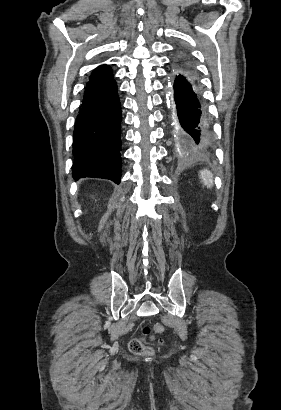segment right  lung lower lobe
Returning <instances> with one entry per match:
<instances>
[{
	"label": "right lung lower lobe",
	"instance_id": "1",
	"mask_svg": "<svg viewBox=\"0 0 281 410\" xmlns=\"http://www.w3.org/2000/svg\"><path fill=\"white\" fill-rule=\"evenodd\" d=\"M121 105L116 81L86 91L73 133L72 176L110 179L121 177Z\"/></svg>",
	"mask_w": 281,
	"mask_h": 410
}]
</instances>
